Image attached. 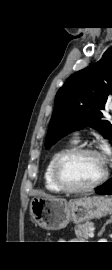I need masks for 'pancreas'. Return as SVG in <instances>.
I'll use <instances>...</instances> for the list:
<instances>
[{
    "mask_svg": "<svg viewBox=\"0 0 112 270\" xmlns=\"http://www.w3.org/2000/svg\"><path fill=\"white\" fill-rule=\"evenodd\" d=\"M93 227L92 222H85L82 225L75 226V234L78 239H81L82 241H85L88 239L89 233Z\"/></svg>",
    "mask_w": 112,
    "mask_h": 270,
    "instance_id": "cf45deb5",
    "label": "pancreas"
}]
</instances>
